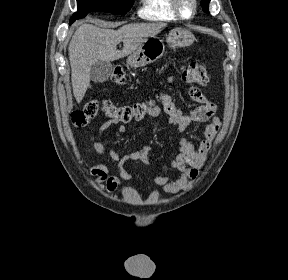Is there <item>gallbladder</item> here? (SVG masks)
I'll return each instance as SVG.
<instances>
[{"label": "gallbladder", "instance_id": "obj_1", "mask_svg": "<svg viewBox=\"0 0 288 280\" xmlns=\"http://www.w3.org/2000/svg\"><path fill=\"white\" fill-rule=\"evenodd\" d=\"M112 73V64L110 62L98 60L90 70L91 79L94 82H105Z\"/></svg>", "mask_w": 288, "mask_h": 280}]
</instances>
